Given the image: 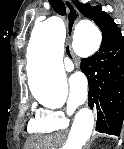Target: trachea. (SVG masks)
<instances>
[{"instance_id": "obj_1", "label": "trachea", "mask_w": 124, "mask_h": 149, "mask_svg": "<svg viewBox=\"0 0 124 149\" xmlns=\"http://www.w3.org/2000/svg\"><path fill=\"white\" fill-rule=\"evenodd\" d=\"M49 3L53 10L59 15L64 16L66 14V7L62 0H49ZM67 54L71 57L69 50L67 51Z\"/></svg>"}]
</instances>
